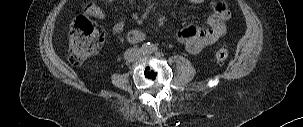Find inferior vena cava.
I'll use <instances>...</instances> for the list:
<instances>
[{
  "mask_svg": "<svg viewBox=\"0 0 303 127\" xmlns=\"http://www.w3.org/2000/svg\"><path fill=\"white\" fill-rule=\"evenodd\" d=\"M140 57V51L137 48L127 49L124 53V59L133 62Z\"/></svg>",
  "mask_w": 303,
  "mask_h": 127,
  "instance_id": "1",
  "label": "inferior vena cava"
}]
</instances>
